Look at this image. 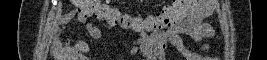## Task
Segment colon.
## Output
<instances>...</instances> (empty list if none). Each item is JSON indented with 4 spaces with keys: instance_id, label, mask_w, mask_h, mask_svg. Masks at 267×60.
I'll use <instances>...</instances> for the list:
<instances>
[{
    "instance_id": "5ec220e1",
    "label": "colon",
    "mask_w": 267,
    "mask_h": 60,
    "mask_svg": "<svg viewBox=\"0 0 267 60\" xmlns=\"http://www.w3.org/2000/svg\"><path fill=\"white\" fill-rule=\"evenodd\" d=\"M80 14L95 17L110 26L123 30L159 33L176 27L189 10L190 0H175L172 5L163 9L160 14L142 18L123 12L117 6L102 0H76Z\"/></svg>"
}]
</instances>
